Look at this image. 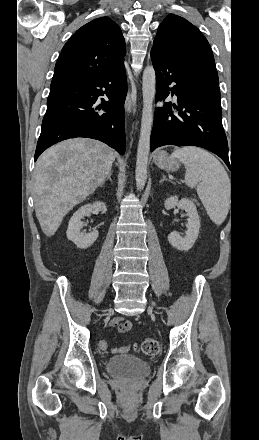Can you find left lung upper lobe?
Masks as SVG:
<instances>
[{"label":"left lung upper lobe","mask_w":259,"mask_h":440,"mask_svg":"<svg viewBox=\"0 0 259 440\" xmlns=\"http://www.w3.org/2000/svg\"><path fill=\"white\" fill-rule=\"evenodd\" d=\"M152 50L159 51L179 65L204 67L217 72L211 47L204 35L175 14H169L160 24Z\"/></svg>","instance_id":"5c2ea615"}]
</instances>
